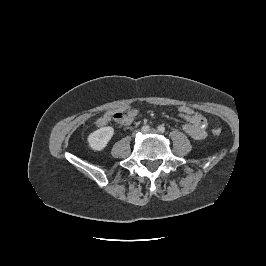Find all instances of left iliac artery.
<instances>
[{
  "mask_svg": "<svg viewBox=\"0 0 266 266\" xmlns=\"http://www.w3.org/2000/svg\"><path fill=\"white\" fill-rule=\"evenodd\" d=\"M158 130H159V132L164 133L165 132V127L160 125V126H158Z\"/></svg>",
  "mask_w": 266,
  "mask_h": 266,
  "instance_id": "left-iliac-artery-1",
  "label": "left iliac artery"
}]
</instances>
